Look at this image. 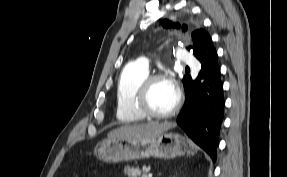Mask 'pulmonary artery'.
Segmentation results:
<instances>
[{
	"label": "pulmonary artery",
	"mask_w": 287,
	"mask_h": 177,
	"mask_svg": "<svg viewBox=\"0 0 287 177\" xmlns=\"http://www.w3.org/2000/svg\"><path fill=\"white\" fill-rule=\"evenodd\" d=\"M178 53L180 55V65L189 67L198 65L197 59L193 55H191L186 49H179ZM138 63L143 67L149 69V63L145 58L139 59Z\"/></svg>",
	"instance_id": "pulmonary-artery-1"
}]
</instances>
